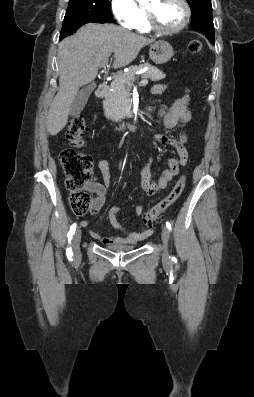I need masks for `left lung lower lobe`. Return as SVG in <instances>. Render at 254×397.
<instances>
[{
    "mask_svg": "<svg viewBox=\"0 0 254 397\" xmlns=\"http://www.w3.org/2000/svg\"><path fill=\"white\" fill-rule=\"evenodd\" d=\"M205 33V32H204ZM214 35L215 34H207L205 33V36L207 37V39L214 45Z\"/></svg>",
    "mask_w": 254,
    "mask_h": 397,
    "instance_id": "0a47b994",
    "label": "left lung lower lobe"
}]
</instances>
